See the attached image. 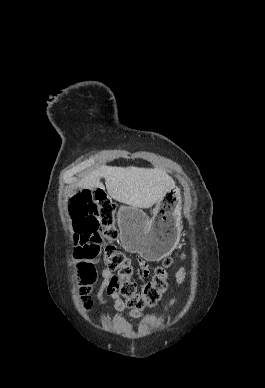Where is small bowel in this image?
I'll return each instance as SVG.
<instances>
[{
  "mask_svg": "<svg viewBox=\"0 0 265 388\" xmlns=\"http://www.w3.org/2000/svg\"><path fill=\"white\" fill-rule=\"evenodd\" d=\"M138 264L141 269L143 277H147L149 275L148 263L142 259H139ZM102 277L104 278V281L98 290V293H97L98 298L102 299L104 294L110 295L114 299V306L116 311L119 313L125 312L126 305L119 298V295L113 283V278H114L113 272L106 268L102 271ZM185 277H186V270L184 267H181L176 273V282L178 284L183 283V281L185 280ZM170 303L173 304L174 300H171ZM129 316L134 319H139V318H142L143 314L139 310L134 309L129 312ZM106 323L112 324L114 328L119 332H125L129 328L128 323L121 318H116L110 321H106Z\"/></svg>",
  "mask_w": 265,
  "mask_h": 388,
  "instance_id": "obj_1",
  "label": "small bowel"
}]
</instances>
